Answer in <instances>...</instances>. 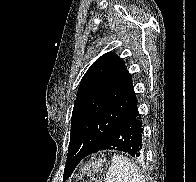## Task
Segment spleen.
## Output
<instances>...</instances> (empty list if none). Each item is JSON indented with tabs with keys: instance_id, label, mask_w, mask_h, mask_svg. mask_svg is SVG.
I'll list each match as a JSON object with an SVG mask.
<instances>
[{
	"instance_id": "3e777b00",
	"label": "spleen",
	"mask_w": 196,
	"mask_h": 182,
	"mask_svg": "<svg viewBox=\"0 0 196 182\" xmlns=\"http://www.w3.org/2000/svg\"><path fill=\"white\" fill-rule=\"evenodd\" d=\"M104 182H144V180L137 165L127 157L115 155Z\"/></svg>"
}]
</instances>
